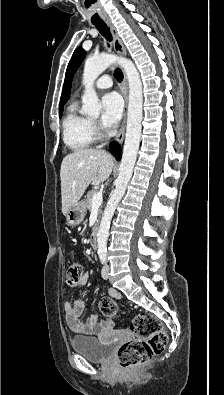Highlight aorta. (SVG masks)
Returning <instances> with one entry per match:
<instances>
[{
  "label": "aorta",
  "mask_w": 224,
  "mask_h": 395,
  "mask_svg": "<svg viewBox=\"0 0 224 395\" xmlns=\"http://www.w3.org/2000/svg\"><path fill=\"white\" fill-rule=\"evenodd\" d=\"M115 63L120 65L126 73L129 86V103L126 135L119 168V176L115 181V190L108 200L97 233V247L98 252L100 253L106 252L107 250V240L113 214L118 202L125 193L127 184L133 173L140 145L142 130L141 123L143 119V89L139 72L131 60L110 54L89 58L85 62L82 80L85 87L84 95L82 97V111L88 116H99L101 104L96 91L94 90V82L103 71Z\"/></svg>",
  "instance_id": "aorta-1"
}]
</instances>
